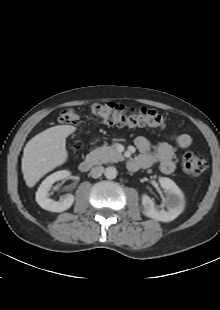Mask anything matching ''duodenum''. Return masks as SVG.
Instances as JSON below:
<instances>
[{
  "label": "duodenum",
  "instance_id": "1",
  "mask_svg": "<svg viewBox=\"0 0 220 310\" xmlns=\"http://www.w3.org/2000/svg\"><path fill=\"white\" fill-rule=\"evenodd\" d=\"M95 164V160L92 158H86L79 163V170L83 173L89 172ZM136 165V160L132 159L128 163V167L134 169Z\"/></svg>",
  "mask_w": 220,
  "mask_h": 310
}]
</instances>
